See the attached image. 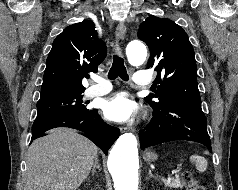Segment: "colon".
<instances>
[{
    "mask_svg": "<svg viewBox=\"0 0 238 190\" xmlns=\"http://www.w3.org/2000/svg\"><path fill=\"white\" fill-rule=\"evenodd\" d=\"M181 181L186 190H205V187L187 171L181 174Z\"/></svg>",
    "mask_w": 238,
    "mask_h": 190,
    "instance_id": "colon-1",
    "label": "colon"
}]
</instances>
